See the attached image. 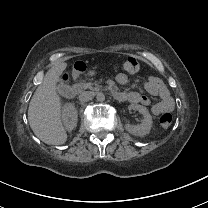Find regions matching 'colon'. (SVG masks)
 Instances as JSON below:
<instances>
[{
    "label": "colon",
    "instance_id": "1",
    "mask_svg": "<svg viewBox=\"0 0 208 208\" xmlns=\"http://www.w3.org/2000/svg\"><path fill=\"white\" fill-rule=\"evenodd\" d=\"M120 70L125 74H135L139 71V62L134 56L126 57L119 65ZM75 75L83 74L86 71V64L83 61H77L74 64ZM173 123V117L170 113H165L161 116L159 124L163 129L169 128Z\"/></svg>",
    "mask_w": 208,
    "mask_h": 208
}]
</instances>
